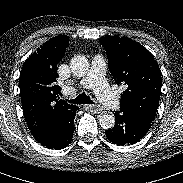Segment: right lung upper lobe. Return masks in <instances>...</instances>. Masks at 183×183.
Here are the masks:
<instances>
[{"mask_svg": "<svg viewBox=\"0 0 183 183\" xmlns=\"http://www.w3.org/2000/svg\"><path fill=\"white\" fill-rule=\"evenodd\" d=\"M69 37L56 36L38 48L24 62L19 86L25 120L31 128L39 119L69 121L78 109L59 99L57 65L65 55Z\"/></svg>", "mask_w": 183, "mask_h": 183, "instance_id": "cb5924a9", "label": "right lung upper lobe"}]
</instances>
